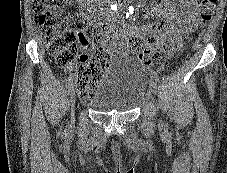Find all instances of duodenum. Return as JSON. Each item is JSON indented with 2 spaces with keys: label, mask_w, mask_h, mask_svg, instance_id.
Instances as JSON below:
<instances>
[{
  "label": "duodenum",
  "mask_w": 227,
  "mask_h": 173,
  "mask_svg": "<svg viewBox=\"0 0 227 173\" xmlns=\"http://www.w3.org/2000/svg\"><path fill=\"white\" fill-rule=\"evenodd\" d=\"M122 1L123 0H103V2L108 6L119 5L122 3Z\"/></svg>",
  "instance_id": "duodenum-1"
}]
</instances>
